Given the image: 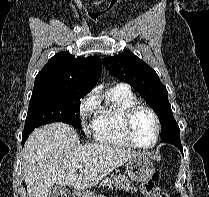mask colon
<instances>
[{"label": "colon", "instance_id": "obj_1", "mask_svg": "<svg viewBox=\"0 0 209 197\" xmlns=\"http://www.w3.org/2000/svg\"><path fill=\"white\" fill-rule=\"evenodd\" d=\"M158 179H159V174L154 173L150 180L142 184L141 191L144 197H168L158 187V184H157ZM58 197H71V195L67 191H62L58 195Z\"/></svg>", "mask_w": 209, "mask_h": 197}]
</instances>
